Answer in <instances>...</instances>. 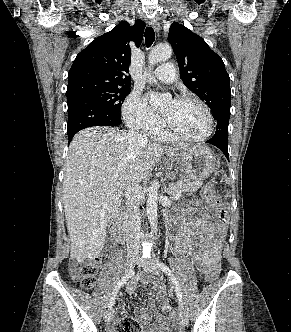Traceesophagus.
Listing matches in <instances>:
<instances>
[{
    "label": "esophagus",
    "mask_w": 291,
    "mask_h": 332,
    "mask_svg": "<svg viewBox=\"0 0 291 332\" xmlns=\"http://www.w3.org/2000/svg\"><path fill=\"white\" fill-rule=\"evenodd\" d=\"M149 24L154 28V30H155L156 32L159 31V29H160V25H159V22L157 21V19H155V18L151 19V20L149 21Z\"/></svg>",
    "instance_id": "34e87169"
}]
</instances>
